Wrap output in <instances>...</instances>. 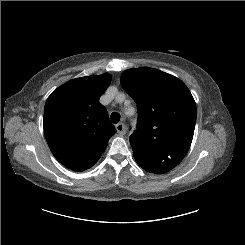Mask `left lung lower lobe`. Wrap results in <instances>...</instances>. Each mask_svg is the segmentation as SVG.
<instances>
[{"instance_id": "0a47b994", "label": "left lung lower lobe", "mask_w": 245, "mask_h": 245, "mask_svg": "<svg viewBox=\"0 0 245 245\" xmlns=\"http://www.w3.org/2000/svg\"><path fill=\"white\" fill-rule=\"evenodd\" d=\"M168 171H159V172H155V174H163V173H166Z\"/></svg>"}]
</instances>
